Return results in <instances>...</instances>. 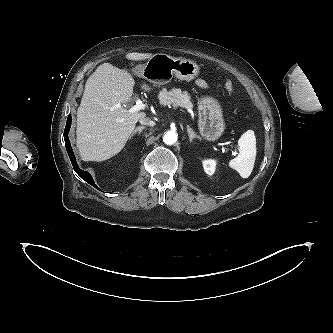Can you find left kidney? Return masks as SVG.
I'll list each match as a JSON object with an SVG mask.
<instances>
[{"instance_id": "obj_1", "label": "left kidney", "mask_w": 333, "mask_h": 333, "mask_svg": "<svg viewBox=\"0 0 333 333\" xmlns=\"http://www.w3.org/2000/svg\"><path fill=\"white\" fill-rule=\"evenodd\" d=\"M204 171L208 175H213L216 169V161L212 159L203 160L202 162Z\"/></svg>"}]
</instances>
